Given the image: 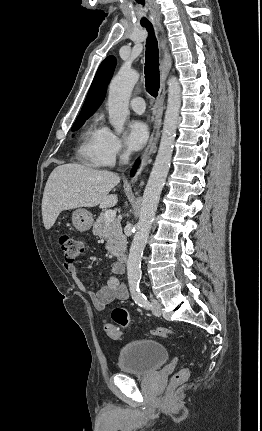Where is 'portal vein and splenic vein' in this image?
Returning a JSON list of instances; mask_svg holds the SVG:
<instances>
[{"instance_id":"obj_1","label":"portal vein and splenic vein","mask_w":262,"mask_h":431,"mask_svg":"<svg viewBox=\"0 0 262 431\" xmlns=\"http://www.w3.org/2000/svg\"><path fill=\"white\" fill-rule=\"evenodd\" d=\"M115 217H116L115 211L107 210L104 213V220H105L106 223L112 222L115 219Z\"/></svg>"}]
</instances>
